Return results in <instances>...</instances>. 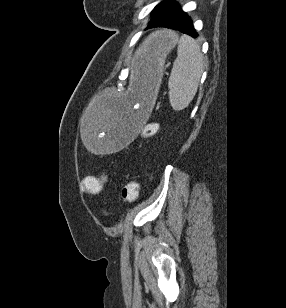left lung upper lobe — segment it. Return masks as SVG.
Returning a JSON list of instances; mask_svg holds the SVG:
<instances>
[{
  "instance_id": "1",
  "label": "left lung upper lobe",
  "mask_w": 286,
  "mask_h": 308,
  "mask_svg": "<svg viewBox=\"0 0 286 308\" xmlns=\"http://www.w3.org/2000/svg\"><path fill=\"white\" fill-rule=\"evenodd\" d=\"M171 2H172V1L164 0V1H162L161 3H159V4L154 8V10L152 11L151 22H150L149 24H151L152 21L156 18V16H157L164 8H166L167 6H169Z\"/></svg>"
}]
</instances>
